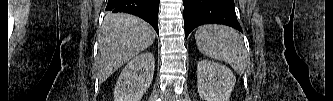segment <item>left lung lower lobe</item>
<instances>
[{"mask_svg":"<svg viewBox=\"0 0 333 101\" xmlns=\"http://www.w3.org/2000/svg\"><path fill=\"white\" fill-rule=\"evenodd\" d=\"M185 10V37L196 27L217 23L241 30L237 20L234 0H183Z\"/></svg>","mask_w":333,"mask_h":101,"instance_id":"obj_1","label":"left lung lower lobe"}]
</instances>
